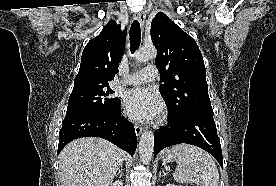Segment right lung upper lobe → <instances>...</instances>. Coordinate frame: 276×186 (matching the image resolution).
Masks as SVG:
<instances>
[{
	"mask_svg": "<svg viewBox=\"0 0 276 186\" xmlns=\"http://www.w3.org/2000/svg\"><path fill=\"white\" fill-rule=\"evenodd\" d=\"M125 35L126 29L122 34L120 26L112 20L87 43L74 87L109 85L108 82L114 80L124 52Z\"/></svg>",
	"mask_w": 276,
	"mask_h": 186,
	"instance_id": "right-lung-upper-lobe-1",
	"label": "right lung upper lobe"
}]
</instances>
